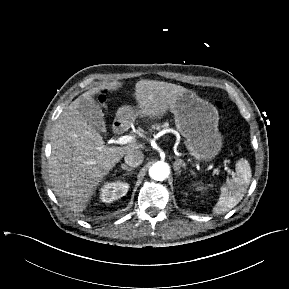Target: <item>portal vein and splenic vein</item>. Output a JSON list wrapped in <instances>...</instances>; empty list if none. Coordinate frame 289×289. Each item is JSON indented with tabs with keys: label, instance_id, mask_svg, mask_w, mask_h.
<instances>
[{
	"label": "portal vein and splenic vein",
	"instance_id": "portal-vein-and-splenic-vein-1",
	"mask_svg": "<svg viewBox=\"0 0 289 289\" xmlns=\"http://www.w3.org/2000/svg\"><path fill=\"white\" fill-rule=\"evenodd\" d=\"M134 139H135L134 136L125 135V136H121V137H119L117 140H115V143H116V144L123 145V144H127V143L133 142ZM224 170L226 171V173H227L228 175H231L232 177L235 176V172H234L232 169H230L229 167H227L226 165H225Z\"/></svg>",
	"mask_w": 289,
	"mask_h": 289
}]
</instances>
